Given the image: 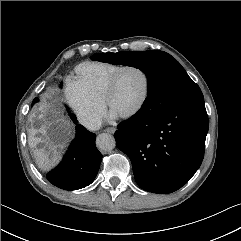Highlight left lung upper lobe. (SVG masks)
I'll return each mask as SVG.
<instances>
[{
    "label": "left lung upper lobe",
    "instance_id": "left-lung-upper-lobe-1",
    "mask_svg": "<svg viewBox=\"0 0 241 241\" xmlns=\"http://www.w3.org/2000/svg\"><path fill=\"white\" fill-rule=\"evenodd\" d=\"M91 59L140 69L148 78V94L161 90L169 105L204 100L199 86L191 80L179 62L166 52L96 53Z\"/></svg>",
    "mask_w": 241,
    "mask_h": 241
}]
</instances>
